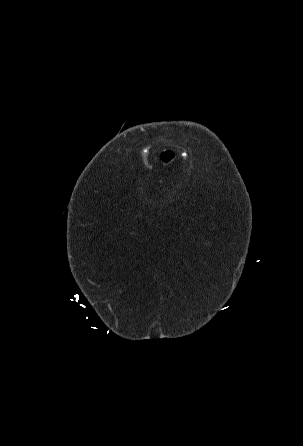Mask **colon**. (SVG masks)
Instances as JSON below:
<instances>
[{
    "label": "colon",
    "instance_id": "5ec220e1",
    "mask_svg": "<svg viewBox=\"0 0 303 446\" xmlns=\"http://www.w3.org/2000/svg\"><path fill=\"white\" fill-rule=\"evenodd\" d=\"M173 158H174V154L170 151L164 152L161 155V160L164 164L170 163Z\"/></svg>",
    "mask_w": 303,
    "mask_h": 446
}]
</instances>
